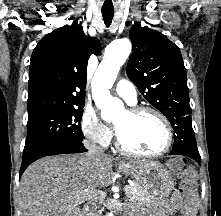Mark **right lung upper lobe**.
<instances>
[{
  "instance_id": "right-lung-upper-lobe-1",
  "label": "right lung upper lobe",
  "mask_w": 221,
  "mask_h": 216,
  "mask_svg": "<svg viewBox=\"0 0 221 216\" xmlns=\"http://www.w3.org/2000/svg\"><path fill=\"white\" fill-rule=\"evenodd\" d=\"M100 49L77 21L44 36L31 57L28 117L84 104L88 59Z\"/></svg>"
}]
</instances>
